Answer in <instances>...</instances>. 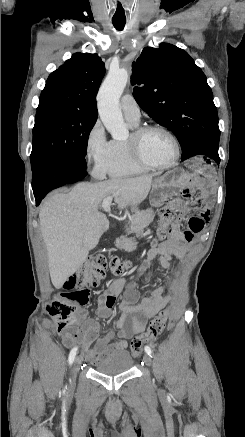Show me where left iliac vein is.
I'll return each instance as SVG.
<instances>
[{
    "label": "left iliac vein",
    "mask_w": 245,
    "mask_h": 437,
    "mask_svg": "<svg viewBox=\"0 0 245 437\" xmlns=\"http://www.w3.org/2000/svg\"><path fill=\"white\" fill-rule=\"evenodd\" d=\"M144 361H145L146 365H148V366H151V365H152V359H151V356H150V355L145 354V355H144Z\"/></svg>",
    "instance_id": "1"
}]
</instances>
